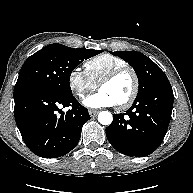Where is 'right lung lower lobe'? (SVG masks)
Segmentation results:
<instances>
[{
  "label": "right lung lower lobe",
  "mask_w": 193,
  "mask_h": 193,
  "mask_svg": "<svg viewBox=\"0 0 193 193\" xmlns=\"http://www.w3.org/2000/svg\"><path fill=\"white\" fill-rule=\"evenodd\" d=\"M15 120L27 147L36 155L56 158L70 152L78 143L88 110L73 95L38 88L16 97ZM60 106L72 108L66 113ZM58 112L61 114H58Z\"/></svg>",
  "instance_id": "98d812e1"
}]
</instances>
